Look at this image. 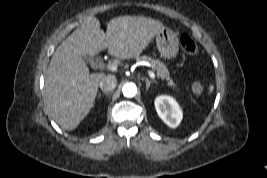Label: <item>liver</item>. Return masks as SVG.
<instances>
[{
    "mask_svg": "<svg viewBox=\"0 0 267 178\" xmlns=\"http://www.w3.org/2000/svg\"><path fill=\"white\" fill-rule=\"evenodd\" d=\"M165 26L145 17L111 19L104 33L97 18L89 16L52 55L45 76V109L63 129L74 130L94 105L103 73H89L85 57L104 49L130 59L142 53Z\"/></svg>",
    "mask_w": 267,
    "mask_h": 178,
    "instance_id": "obj_1",
    "label": "liver"
}]
</instances>
